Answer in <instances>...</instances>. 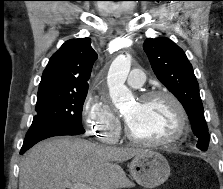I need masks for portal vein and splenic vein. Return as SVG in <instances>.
Masks as SVG:
<instances>
[{"label":"portal vein and splenic vein","instance_id":"1","mask_svg":"<svg viewBox=\"0 0 223 189\" xmlns=\"http://www.w3.org/2000/svg\"><path fill=\"white\" fill-rule=\"evenodd\" d=\"M69 189H96L93 186L88 184H80V183H67Z\"/></svg>","mask_w":223,"mask_h":189}]
</instances>
